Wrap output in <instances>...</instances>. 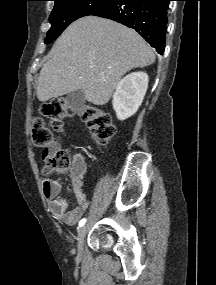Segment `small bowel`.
I'll return each mask as SVG.
<instances>
[{"mask_svg": "<svg viewBox=\"0 0 216 285\" xmlns=\"http://www.w3.org/2000/svg\"><path fill=\"white\" fill-rule=\"evenodd\" d=\"M59 150L57 143H52L49 148L43 151V157L55 154ZM87 165L81 155H75L71 166V183L73 188L76 206L69 207V202L58 198L61 191L59 182L45 179L43 181V192L49 200V208L53 216L62 220L68 225H75L88 208V200L82 190L83 177L86 173Z\"/></svg>", "mask_w": 216, "mask_h": 285, "instance_id": "c3829d8e", "label": "small bowel"}]
</instances>
